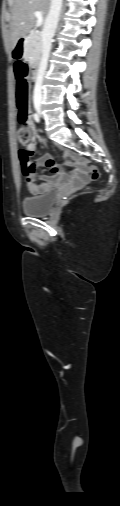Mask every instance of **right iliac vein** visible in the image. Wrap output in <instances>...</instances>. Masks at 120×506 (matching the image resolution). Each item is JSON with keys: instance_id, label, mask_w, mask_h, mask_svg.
Returning a JSON list of instances; mask_svg holds the SVG:
<instances>
[{"instance_id": "obj_1", "label": "right iliac vein", "mask_w": 120, "mask_h": 506, "mask_svg": "<svg viewBox=\"0 0 120 506\" xmlns=\"http://www.w3.org/2000/svg\"><path fill=\"white\" fill-rule=\"evenodd\" d=\"M35 107H36V109H37V111H38V112H40V111H41V107H40V105H39V104L35 105Z\"/></svg>"}]
</instances>
